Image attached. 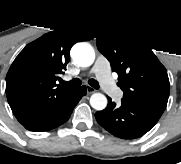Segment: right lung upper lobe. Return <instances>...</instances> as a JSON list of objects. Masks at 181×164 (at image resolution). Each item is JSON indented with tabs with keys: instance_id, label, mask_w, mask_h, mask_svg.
<instances>
[{
	"instance_id": "1",
	"label": "right lung upper lobe",
	"mask_w": 181,
	"mask_h": 164,
	"mask_svg": "<svg viewBox=\"0 0 181 164\" xmlns=\"http://www.w3.org/2000/svg\"><path fill=\"white\" fill-rule=\"evenodd\" d=\"M93 37L81 27L56 29L28 44L16 57L6 76V95L10 107L47 104L70 88L56 84L66 68L71 47Z\"/></svg>"
}]
</instances>
